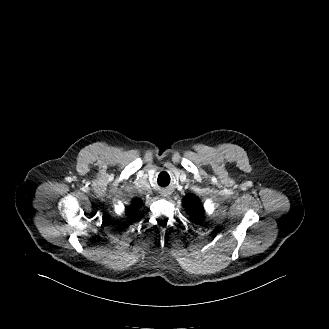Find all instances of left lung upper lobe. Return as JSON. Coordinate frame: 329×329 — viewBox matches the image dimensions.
Instances as JSON below:
<instances>
[{
  "mask_svg": "<svg viewBox=\"0 0 329 329\" xmlns=\"http://www.w3.org/2000/svg\"><path fill=\"white\" fill-rule=\"evenodd\" d=\"M183 203L194 220L199 221L202 219L204 208L197 197L192 194L187 195L184 198Z\"/></svg>",
  "mask_w": 329,
  "mask_h": 329,
  "instance_id": "5c2ea615",
  "label": "left lung upper lobe"
}]
</instances>
